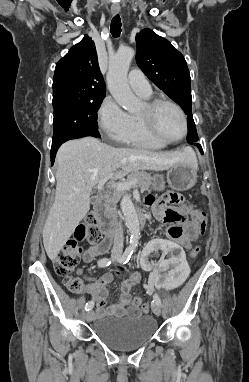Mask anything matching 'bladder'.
<instances>
[{"label":"bladder","instance_id":"bladder-1","mask_svg":"<svg viewBox=\"0 0 249 382\" xmlns=\"http://www.w3.org/2000/svg\"><path fill=\"white\" fill-rule=\"evenodd\" d=\"M157 330V323L149 315L133 318L110 316L95 322V335L115 350H134L151 340Z\"/></svg>","mask_w":249,"mask_h":382}]
</instances>
